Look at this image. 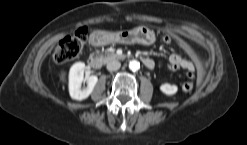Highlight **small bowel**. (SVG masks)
<instances>
[{"mask_svg":"<svg viewBox=\"0 0 247 145\" xmlns=\"http://www.w3.org/2000/svg\"><path fill=\"white\" fill-rule=\"evenodd\" d=\"M177 43L189 54L191 59L181 57L178 54H171L169 56V68L173 71L179 69L186 70L187 75L192 77L196 70L200 71L202 69V61L187 41L177 38Z\"/></svg>","mask_w":247,"mask_h":145,"instance_id":"small-bowel-1","label":"small bowel"}]
</instances>
